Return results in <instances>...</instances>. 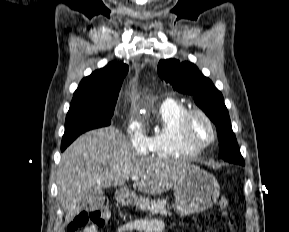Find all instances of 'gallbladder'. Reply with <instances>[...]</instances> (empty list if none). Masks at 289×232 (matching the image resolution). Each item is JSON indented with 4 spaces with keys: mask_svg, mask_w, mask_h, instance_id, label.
Returning <instances> with one entry per match:
<instances>
[{
    "mask_svg": "<svg viewBox=\"0 0 289 232\" xmlns=\"http://www.w3.org/2000/svg\"><path fill=\"white\" fill-rule=\"evenodd\" d=\"M104 199L105 196L103 191H98L94 188H91L85 193V203L83 209L86 211H96L102 208Z\"/></svg>",
    "mask_w": 289,
    "mask_h": 232,
    "instance_id": "bac80fb5",
    "label": "gallbladder"
}]
</instances>
